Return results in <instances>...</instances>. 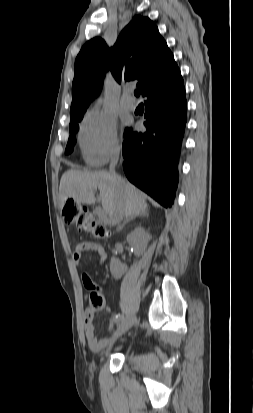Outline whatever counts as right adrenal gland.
I'll list each match as a JSON object with an SVG mask.
<instances>
[{
    "mask_svg": "<svg viewBox=\"0 0 253 413\" xmlns=\"http://www.w3.org/2000/svg\"><path fill=\"white\" fill-rule=\"evenodd\" d=\"M138 216H148V214L147 213H143V214H140V215H137V216H130L129 218H127L125 221H124V223L118 228V231L119 230H122L123 228H124V226L128 223V222H130L131 220H134L136 217H138Z\"/></svg>",
    "mask_w": 253,
    "mask_h": 413,
    "instance_id": "1",
    "label": "right adrenal gland"
}]
</instances>
